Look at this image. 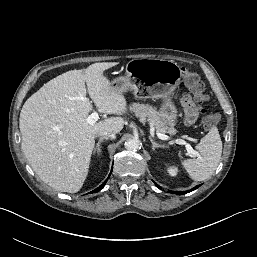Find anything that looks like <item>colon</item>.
Instances as JSON below:
<instances>
[{
    "label": "colon",
    "instance_id": "obj_1",
    "mask_svg": "<svg viewBox=\"0 0 257 257\" xmlns=\"http://www.w3.org/2000/svg\"><path fill=\"white\" fill-rule=\"evenodd\" d=\"M182 80L197 104L202 105L206 102L207 94L205 93V87L197 74L183 69ZM220 121L221 115L219 113L204 111L202 125L205 129L209 130L216 127Z\"/></svg>",
    "mask_w": 257,
    "mask_h": 257
}]
</instances>
